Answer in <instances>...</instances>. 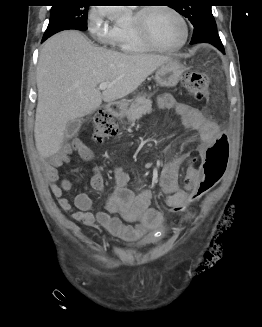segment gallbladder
Segmentation results:
<instances>
[{"instance_id": "obj_1", "label": "gallbladder", "mask_w": 262, "mask_h": 327, "mask_svg": "<svg viewBox=\"0 0 262 327\" xmlns=\"http://www.w3.org/2000/svg\"><path fill=\"white\" fill-rule=\"evenodd\" d=\"M81 124H82L81 119H74L70 121L65 129L66 137L74 136L79 131Z\"/></svg>"}]
</instances>
